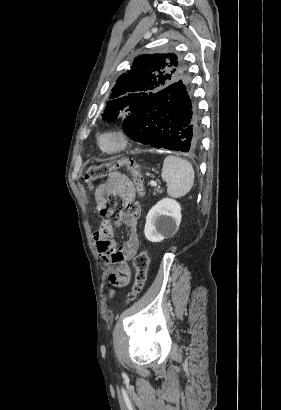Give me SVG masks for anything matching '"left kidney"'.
<instances>
[{"mask_svg":"<svg viewBox=\"0 0 281 410\" xmlns=\"http://www.w3.org/2000/svg\"><path fill=\"white\" fill-rule=\"evenodd\" d=\"M180 222V204L176 200L164 198L157 202L146 216L145 237L150 242H161L165 239L162 232L178 228Z\"/></svg>","mask_w":281,"mask_h":410,"instance_id":"obj_1","label":"left kidney"}]
</instances>
